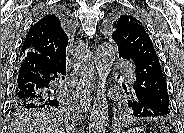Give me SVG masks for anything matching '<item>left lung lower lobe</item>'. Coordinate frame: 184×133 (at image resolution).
Listing matches in <instances>:
<instances>
[{"label":"left lung lower lobe","mask_w":184,"mask_h":133,"mask_svg":"<svg viewBox=\"0 0 184 133\" xmlns=\"http://www.w3.org/2000/svg\"><path fill=\"white\" fill-rule=\"evenodd\" d=\"M153 62L143 57L135 63L134 101L129 107L135 117H168L172 113L162 69Z\"/></svg>","instance_id":"obj_1"}]
</instances>
